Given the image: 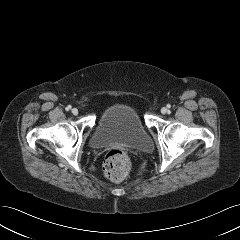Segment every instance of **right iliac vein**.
Instances as JSON below:
<instances>
[{"mask_svg": "<svg viewBox=\"0 0 240 240\" xmlns=\"http://www.w3.org/2000/svg\"><path fill=\"white\" fill-rule=\"evenodd\" d=\"M71 112H72L73 115H77L78 114V109L77 108H73L71 110Z\"/></svg>", "mask_w": 240, "mask_h": 240, "instance_id": "right-iliac-vein-1", "label": "right iliac vein"}]
</instances>
